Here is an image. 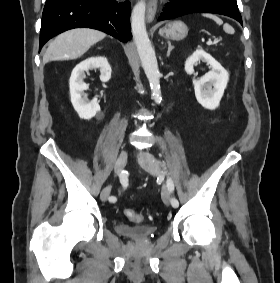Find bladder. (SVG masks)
Instances as JSON below:
<instances>
[{"instance_id": "bladder-1", "label": "bladder", "mask_w": 280, "mask_h": 283, "mask_svg": "<svg viewBox=\"0 0 280 283\" xmlns=\"http://www.w3.org/2000/svg\"><path fill=\"white\" fill-rule=\"evenodd\" d=\"M115 231L123 236L136 241H144L156 232V226L152 224L129 225L123 222L115 224Z\"/></svg>"}]
</instances>
